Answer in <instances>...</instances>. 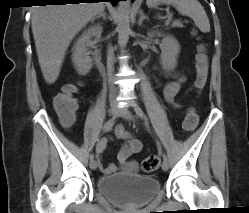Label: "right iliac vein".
<instances>
[{
    "label": "right iliac vein",
    "instance_id": "obj_1",
    "mask_svg": "<svg viewBox=\"0 0 249 213\" xmlns=\"http://www.w3.org/2000/svg\"><path fill=\"white\" fill-rule=\"evenodd\" d=\"M119 108L116 104H112L111 107H110V113L112 116H117L118 113H119ZM89 166L92 170H95L97 168V163L95 160H91L90 163H89Z\"/></svg>",
    "mask_w": 249,
    "mask_h": 213
}]
</instances>
